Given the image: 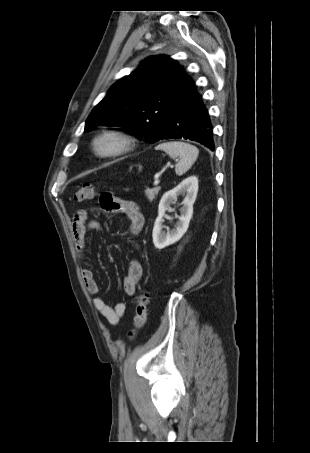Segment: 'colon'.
<instances>
[{"mask_svg":"<svg viewBox=\"0 0 310 453\" xmlns=\"http://www.w3.org/2000/svg\"><path fill=\"white\" fill-rule=\"evenodd\" d=\"M96 188L93 184H82L79 186L74 194V199L77 202H84L94 197ZM114 203V197L110 193H103L100 196V204L103 209H110ZM149 295L146 292L140 293L136 297L135 313L133 316L134 328L130 331V336H133L137 330L141 329L147 320V306Z\"/></svg>","mask_w":310,"mask_h":453,"instance_id":"1","label":"colon"}]
</instances>
